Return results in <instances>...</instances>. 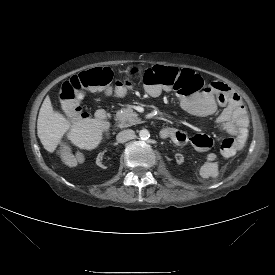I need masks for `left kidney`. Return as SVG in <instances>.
<instances>
[{
  "label": "left kidney",
  "mask_w": 275,
  "mask_h": 275,
  "mask_svg": "<svg viewBox=\"0 0 275 275\" xmlns=\"http://www.w3.org/2000/svg\"><path fill=\"white\" fill-rule=\"evenodd\" d=\"M175 156L178 164H182L184 162V156L182 154L177 153Z\"/></svg>",
  "instance_id": "1"
}]
</instances>
